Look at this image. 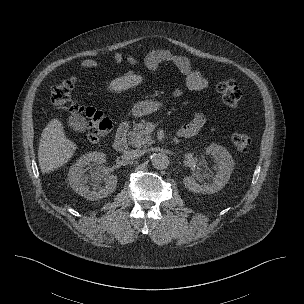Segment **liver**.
Instances as JSON below:
<instances>
[{"label": "liver", "instance_id": "obj_1", "mask_svg": "<svg viewBox=\"0 0 304 304\" xmlns=\"http://www.w3.org/2000/svg\"><path fill=\"white\" fill-rule=\"evenodd\" d=\"M140 75H128L111 81L109 90L120 93L142 82ZM77 145L69 140L59 119H52L43 129L38 149L42 174L49 173L66 164L74 155Z\"/></svg>", "mask_w": 304, "mask_h": 304}]
</instances>
